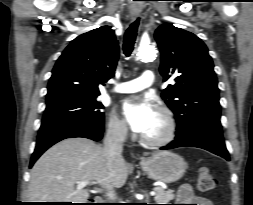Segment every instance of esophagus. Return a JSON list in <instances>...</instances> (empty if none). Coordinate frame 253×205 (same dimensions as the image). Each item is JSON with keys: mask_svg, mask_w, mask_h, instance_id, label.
Here are the masks:
<instances>
[{"mask_svg": "<svg viewBox=\"0 0 253 205\" xmlns=\"http://www.w3.org/2000/svg\"><path fill=\"white\" fill-rule=\"evenodd\" d=\"M138 17H139V13H137V12H132V13L130 14V18H131L132 20H136Z\"/></svg>", "mask_w": 253, "mask_h": 205, "instance_id": "34e87169", "label": "esophagus"}]
</instances>
